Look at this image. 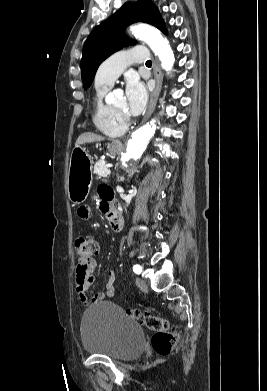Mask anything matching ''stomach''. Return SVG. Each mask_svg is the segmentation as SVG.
Returning <instances> with one entry per match:
<instances>
[{"instance_id":"0dacf381","label":"stomach","mask_w":267,"mask_h":391,"mask_svg":"<svg viewBox=\"0 0 267 391\" xmlns=\"http://www.w3.org/2000/svg\"><path fill=\"white\" fill-rule=\"evenodd\" d=\"M108 150L116 154L120 151V144L114 142L108 146ZM92 165L93 160L86 150L75 147L71 153L67 179L68 197L74 204H81L88 196L92 184Z\"/></svg>"}]
</instances>
